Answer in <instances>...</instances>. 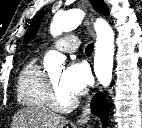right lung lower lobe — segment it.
I'll use <instances>...</instances> for the list:
<instances>
[{
    "label": "right lung lower lobe",
    "mask_w": 142,
    "mask_h": 128,
    "mask_svg": "<svg viewBox=\"0 0 142 128\" xmlns=\"http://www.w3.org/2000/svg\"><path fill=\"white\" fill-rule=\"evenodd\" d=\"M92 113L98 115L105 126L108 120L109 107L108 102L102 93H98L91 103Z\"/></svg>",
    "instance_id": "right-lung-lower-lobe-1"
}]
</instances>
